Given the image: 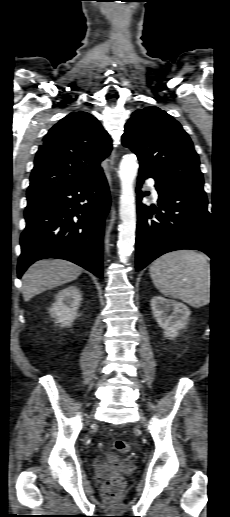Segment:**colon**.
<instances>
[{
	"instance_id": "obj_1",
	"label": "colon",
	"mask_w": 230,
	"mask_h": 517,
	"mask_svg": "<svg viewBox=\"0 0 230 517\" xmlns=\"http://www.w3.org/2000/svg\"><path fill=\"white\" fill-rule=\"evenodd\" d=\"M113 445L115 449L122 452H127L130 450L129 443L121 439L115 440ZM122 487L123 480L121 478L108 480L104 485L105 497L110 500L118 499L121 494Z\"/></svg>"
}]
</instances>
